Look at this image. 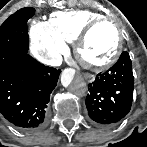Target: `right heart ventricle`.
I'll use <instances>...</instances> for the list:
<instances>
[{"instance_id":"e07e8e85","label":"right heart ventricle","mask_w":147,"mask_h":147,"mask_svg":"<svg viewBox=\"0 0 147 147\" xmlns=\"http://www.w3.org/2000/svg\"><path fill=\"white\" fill-rule=\"evenodd\" d=\"M100 19V15L89 11H74L54 16L48 28L51 35L57 33L63 43H74L86 27Z\"/></svg>"}]
</instances>
